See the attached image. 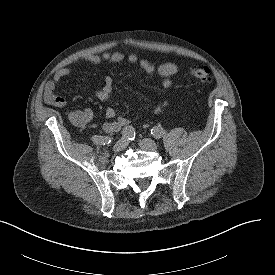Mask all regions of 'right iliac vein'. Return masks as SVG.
I'll use <instances>...</instances> for the list:
<instances>
[{
	"label": "right iliac vein",
	"instance_id": "right-iliac-vein-1",
	"mask_svg": "<svg viewBox=\"0 0 275 275\" xmlns=\"http://www.w3.org/2000/svg\"><path fill=\"white\" fill-rule=\"evenodd\" d=\"M128 145V141L125 137H122L121 139H119L113 146V150L116 152L122 151L126 148V146Z\"/></svg>",
	"mask_w": 275,
	"mask_h": 275
}]
</instances>
